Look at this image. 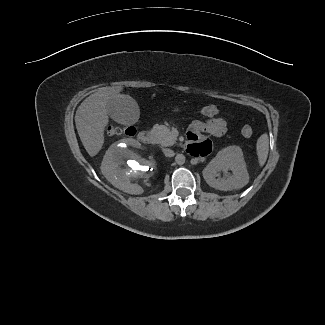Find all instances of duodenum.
<instances>
[{"label":"duodenum","instance_id":"1","mask_svg":"<svg viewBox=\"0 0 325 325\" xmlns=\"http://www.w3.org/2000/svg\"><path fill=\"white\" fill-rule=\"evenodd\" d=\"M138 141L143 144H150L153 141V135L150 131H141L138 134Z\"/></svg>","mask_w":325,"mask_h":325}]
</instances>
